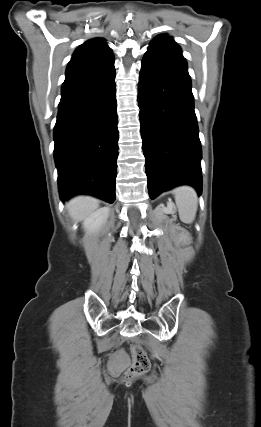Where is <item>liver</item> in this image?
<instances>
[{"label": "liver", "instance_id": "liver-1", "mask_svg": "<svg viewBox=\"0 0 261 427\" xmlns=\"http://www.w3.org/2000/svg\"><path fill=\"white\" fill-rule=\"evenodd\" d=\"M69 215L74 221H83L99 207V201L90 196H77L66 204Z\"/></svg>", "mask_w": 261, "mask_h": 427}]
</instances>
